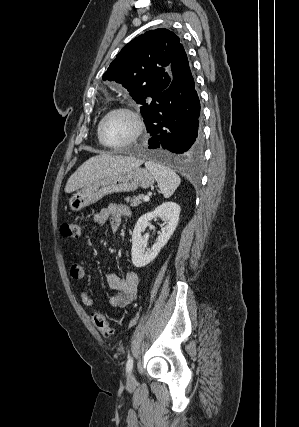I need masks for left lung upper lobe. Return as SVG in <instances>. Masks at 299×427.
Wrapping results in <instances>:
<instances>
[{"mask_svg":"<svg viewBox=\"0 0 299 427\" xmlns=\"http://www.w3.org/2000/svg\"><path fill=\"white\" fill-rule=\"evenodd\" d=\"M179 45L180 38L168 29L147 31L118 53L103 80L121 83L142 105L144 116L171 82V62Z\"/></svg>","mask_w":299,"mask_h":427,"instance_id":"left-lung-upper-lobe-1","label":"left lung upper lobe"}]
</instances>
